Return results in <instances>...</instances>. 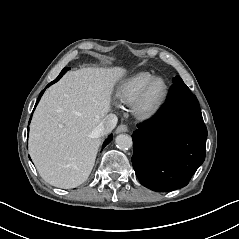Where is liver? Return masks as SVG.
Segmentation results:
<instances>
[{"label":"liver","mask_w":239,"mask_h":239,"mask_svg":"<svg viewBox=\"0 0 239 239\" xmlns=\"http://www.w3.org/2000/svg\"><path fill=\"white\" fill-rule=\"evenodd\" d=\"M119 74V69L68 72L43 95L30 125L29 153L47 183L69 189L88 179L101 144L96 129Z\"/></svg>","instance_id":"obj_1"}]
</instances>
